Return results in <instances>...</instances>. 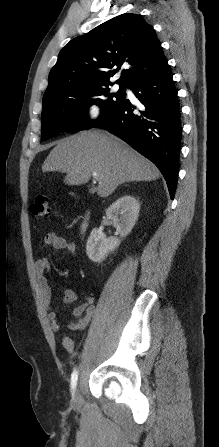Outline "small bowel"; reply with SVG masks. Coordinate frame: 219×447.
<instances>
[{"label": "small bowel", "mask_w": 219, "mask_h": 447, "mask_svg": "<svg viewBox=\"0 0 219 447\" xmlns=\"http://www.w3.org/2000/svg\"><path fill=\"white\" fill-rule=\"evenodd\" d=\"M43 243L56 250H64L75 256L77 246L74 242L68 241L64 237L55 233H48L43 237ZM36 277L39 283L43 303L48 308L47 318L51 323L53 331H60L64 325L58 319V313L51 308L52 290L46 273L50 270V262L47 258H40L35 265ZM77 299V293L72 289L62 291V301L64 304H72ZM95 312L94 298L86 296L84 301L77 305L71 312L74 321L65 325L71 331H83L88 328ZM64 347L69 351H74V343L69 337L62 339Z\"/></svg>", "instance_id": "c3829d8e"}]
</instances>
